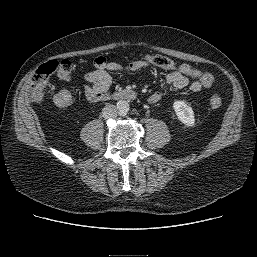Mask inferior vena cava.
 <instances>
[{"label":"inferior vena cava","mask_w":257,"mask_h":257,"mask_svg":"<svg viewBox=\"0 0 257 257\" xmlns=\"http://www.w3.org/2000/svg\"><path fill=\"white\" fill-rule=\"evenodd\" d=\"M102 116L106 119L117 117V108L113 104L106 105L102 110Z\"/></svg>","instance_id":"602c4592"}]
</instances>
